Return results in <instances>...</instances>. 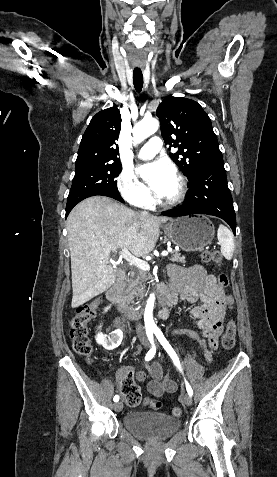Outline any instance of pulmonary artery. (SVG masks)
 Here are the masks:
<instances>
[{"mask_svg": "<svg viewBox=\"0 0 277 477\" xmlns=\"http://www.w3.org/2000/svg\"><path fill=\"white\" fill-rule=\"evenodd\" d=\"M162 148V140L158 136H153L149 141L140 149L139 157L142 159H150L154 157Z\"/></svg>", "mask_w": 277, "mask_h": 477, "instance_id": "pulmonary-artery-1", "label": "pulmonary artery"}]
</instances>
